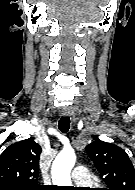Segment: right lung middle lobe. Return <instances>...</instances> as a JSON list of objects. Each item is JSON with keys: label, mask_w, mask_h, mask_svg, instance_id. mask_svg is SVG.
Wrapping results in <instances>:
<instances>
[{"label": "right lung middle lobe", "mask_w": 135, "mask_h": 190, "mask_svg": "<svg viewBox=\"0 0 135 190\" xmlns=\"http://www.w3.org/2000/svg\"><path fill=\"white\" fill-rule=\"evenodd\" d=\"M2 190H15L14 188H1ZM40 188H38L37 190H39Z\"/></svg>", "instance_id": "1"}]
</instances>
